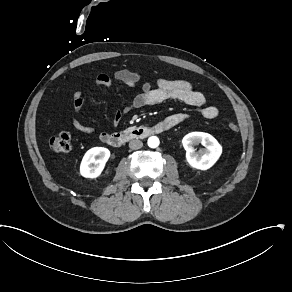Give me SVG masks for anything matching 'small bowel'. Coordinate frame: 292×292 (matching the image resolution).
Masks as SVG:
<instances>
[{
    "mask_svg": "<svg viewBox=\"0 0 292 292\" xmlns=\"http://www.w3.org/2000/svg\"><path fill=\"white\" fill-rule=\"evenodd\" d=\"M113 78L125 83L129 87H134L142 80V74L135 71L121 69L113 74ZM97 86L111 87L113 84L112 77L106 73H100L95 78ZM176 100L188 105L195 106L200 109L203 117L207 119H215L219 116V109L216 106L207 105L206 97L203 93L194 89L192 84L185 80H167L160 78L156 82V87L148 81L143 82L141 91L132 99L129 105L117 112L114 123L117 124L121 117L134 110L144 107L155 106L160 103ZM87 98L81 91H77L73 95V114L72 124L74 128L85 134H94L95 128L82 122L81 113L85 106ZM187 119L185 113H175L164 118L158 125L169 130ZM109 132L102 131L99 139L107 142L106 139Z\"/></svg>",
    "mask_w": 292,
    "mask_h": 292,
    "instance_id": "small-bowel-1",
    "label": "small bowel"
}]
</instances>
